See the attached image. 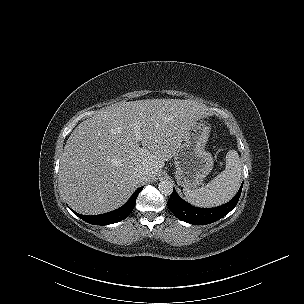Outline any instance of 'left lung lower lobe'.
<instances>
[{"label": "left lung lower lobe", "mask_w": 304, "mask_h": 304, "mask_svg": "<svg viewBox=\"0 0 304 304\" xmlns=\"http://www.w3.org/2000/svg\"><path fill=\"white\" fill-rule=\"evenodd\" d=\"M243 183L234 196V198L228 203L215 208H197L191 206L183 199H181L176 190L173 189L171 197L167 203L170 211L180 220L194 224V225H205L213 223L220 218L227 215L237 204L241 195Z\"/></svg>", "instance_id": "1"}]
</instances>
